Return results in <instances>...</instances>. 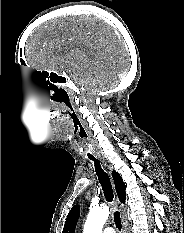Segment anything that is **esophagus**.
I'll list each match as a JSON object with an SVG mask.
<instances>
[{"mask_svg": "<svg viewBox=\"0 0 184 233\" xmlns=\"http://www.w3.org/2000/svg\"><path fill=\"white\" fill-rule=\"evenodd\" d=\"M116 204H117V206H119V209L123 211V209H124L123 204H121L119 202L118 198H116ZM122 226H123L122 233H127V223H126V217L124 214L122 215Z\"/></svg>", "mask_w": 184, "mask_h": 233, "instance_id": "34e87169", "label": "esophagus"}]
</instances>
